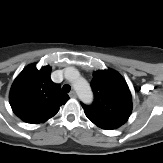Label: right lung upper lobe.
<instances>
[{
	"instance_id": "right-lung-upper-lobe-1",
	"label": "right lung upper lobe",
	"mask_w": 163,
	"mask_h": 163,
	"mask_svg": "<svg viewBox=\"0 0 163 163\" xmlns=\"http://www.w3.org/2000/svg\"><path fill=\"white\" fill-rule=\"evenodd\" d=\"M51 67L37 69L27 66L14 80L10 89V105L24 122L39 124L54 116L69 96L50 78Z\"/></svg>"
}]
</instances>
